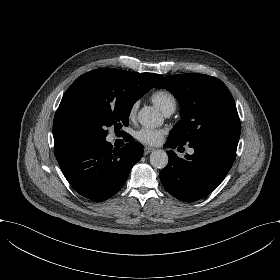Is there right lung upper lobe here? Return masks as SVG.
Masks as SVG:
<instances>
[{
    "instance_id": "1",
    "label": "right lung upper lobe",
    "mask_w": 280,
    "mask_h": 280,
    "mask_svg": "<svg viewBox=\"0 0 280 280\" xmlns=\"http://www.w3.org/2000/svg\"><path fill=\"white\" fill-rule=\"evenodd\" d=\"M113 70L117 73L120 82L122 92L127 93L133 100H138L142 95L148 92L154 85L162 78V75L154 73H134L118 69L103 68L98 70ZM97 70L85 73L81 75L78 80L83 79L87 75ZM65 97L59 105L56 111L53 124V136H54V151L55 154L61 150L85 141L80 135L74 132L65 122L63 116V103Z\"/></svg>"
}]
</instances>
